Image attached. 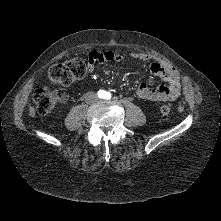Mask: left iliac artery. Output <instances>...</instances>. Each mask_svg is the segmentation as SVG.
Instances as JSON below:
<instances>
[{"label":"left iliac artery","instance_id":"left-iliac-artery-1","mask_svg":"<svg viewBox=\"0 0 221 221\" xmlns=\"http://www.w3.org/2000/svg\"><path fill=\"white\" fill-rule=\"evenodd\" d=\"M111 96H112V95H111L110 92H106L104 98L108 100V99L111 98Z\"/></svg>","mask_w":221,"mask_h":221}]
</instances>
